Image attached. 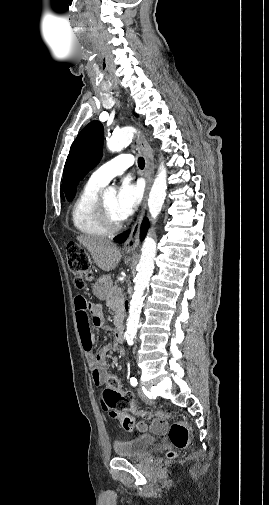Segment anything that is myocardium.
Instances as JSON below:
<instances>
[{"label":"myocardium","mask_w":269,"mask_h":505,"mask_svg":"<svg viewBox=\"0 0 269 505\" xmlns=\"http://www.w3.org/2000/svg\"><path fill=\"white\" fill-rule=\"evenodd\" d=\"M97 210L99 218L103 226L108 230V232H115L122 228L123 222L122 221L116 222L111 218L106 207L104 206L102 199H98Z\"/></svg>","instance_id":"f54148a6"}]
</instances>
